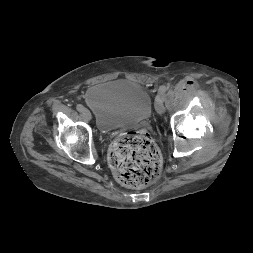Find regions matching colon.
Listing matches in <instances>:
<instances>
[{"instance_id":"5ec220e1","label":"colon","mask_w":253,"mask_h":253,"mask_svg":"<svg viewBox=\"0 0 253 253\" xmlns=\"http://www.w3.org/2000/svg\"><path fill=\"white\" fill-rule=\"evenodd\" d=\"M109 162L116 179L132 188L155 182L162 167L160 152L144 131L121 134L111 146Z\"/></svg>"}]
</instances>
